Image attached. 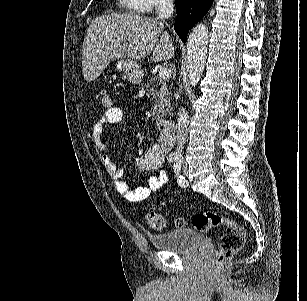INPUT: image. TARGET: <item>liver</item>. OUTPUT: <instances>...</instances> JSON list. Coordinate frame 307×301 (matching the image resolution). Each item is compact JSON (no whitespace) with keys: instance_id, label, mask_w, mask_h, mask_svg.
Returning <instances> with one entry per match:
<instances>
[{"instance_id":"6515ba94","label":"liver","mask_w":307,"mask_h":301,"mask_svg":"<svg viewBox=\"0 0 307 301\" xmlns=\"http://www.w3.org/2000/svg\"><path fill=\"white\" fill-rule=\"evenodd\" d=\"M156 18L139 14H103L91 20L82 46V72L86 80H95L116 58H145L169 60L175 46ZM155 46V48H154Z\"/></svg>"}]
</instances>
